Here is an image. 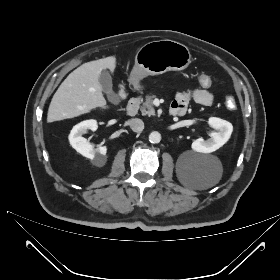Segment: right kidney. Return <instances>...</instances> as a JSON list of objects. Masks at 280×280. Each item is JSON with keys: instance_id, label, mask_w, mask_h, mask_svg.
Wrapping results in <instances>:
<instances>
[{"instance_id": "right-kidney-1", "label": "right kidney", "mask_w": 280, "mask_h": 280, "mask_svg": "<svg viewBox=\"0 0 280 280\" xmlns=\"http://www.w3.org/2000/svg\"><path fill=\"white\" fill-rule=\"evenodd\" d=\"M97 128V121L94 119L82 121L72 128L69 134V142L70 145L84 157H87L91 160L95 159L105 161L107 147L99 146L98 148L94 149L93 145L87 142L84 137H82V134L86 133L87 130L95 131Z\"/></svg>"}]
</instances>
